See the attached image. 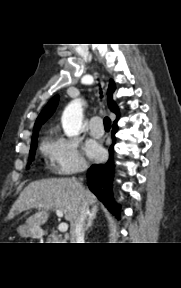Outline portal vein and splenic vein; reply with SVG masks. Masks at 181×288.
I'll return each instance as SVG.
<instances>
[{"label": "portal vein and splenic vein", "instance_id": "obj_1", "mask_svg": "<svg viewBox=\"0 0 181 288\" xmlns=\"http://www.w3.org/2000/svg\"><path fill=\"white\" fill-rule=\"evenodd\" d=\"M39 207H41V205ZM55 211H56V215L58 217H63V212L61 210L55 209ZM58 230L60 232H66L68 230V224L67 223H60L58 226Z\"/></svg>", "mask_w": 181, "mask_h": 288}]
</instances>
